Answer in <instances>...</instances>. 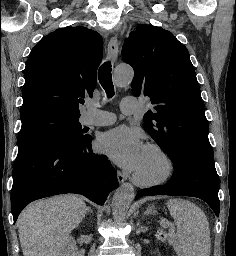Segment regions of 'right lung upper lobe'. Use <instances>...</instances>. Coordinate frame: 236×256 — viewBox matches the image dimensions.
Masks as SVG:
<instances>
[{
  "mask_svg": "<svg viewBox=\"0 0 236 256\" xmlns=\"http://www.w3.org/2000/svg\"><path fill=\"white\" fill-rule=\"evenodd\" d=\"M102 48L100 34L81 26L43 37L26 62L21 119L42 111L79 118V103L96 87Z\"/></svg>",
  "mask_w": 236,
  "mask_h": 256,
  "instance_id": "right-lung-upper-lobe-1",
  "label": "right lung upper lobe"
}]
</instances>
